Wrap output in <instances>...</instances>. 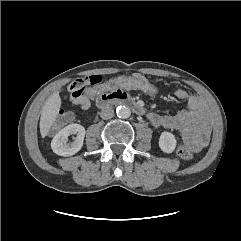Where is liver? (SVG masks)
Wrapping results in <instances>:
<instances>
[{"instance_id":"6515ba94","label":"liver","mask_w":241,"mask_h":241,"mask_svg":"<svg viewBox=\"0 0 241 241\" xmlns=\"http://www.w3.org/2000/svg\"><path fill=\"white\" fill-rule=\"evenodd\" d=\"M61 104L62 101L59 96V92L53 93L45 102L41 111L39 124L40 133L43 138L47 136L48 132L50 131V128L54 124L58 116Z\"/></svg>"}]
</instances>
